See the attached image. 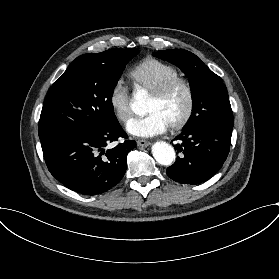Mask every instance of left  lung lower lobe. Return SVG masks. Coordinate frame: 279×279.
Masks as SVG:
<instances>
[{"label": "left lung lower lobe", "instance_id": "left-lung-lower-lobe-1", "mask_svg": "<svg viewBox=\"0 0 279 279\" xmlns=\"http://www.w3.org/2000/svg\"><path fill=\"white\" fill-rule=\"evenodd\" d=\"M233 127L205 123L184 129L175 140L182 158L167 168V175L184 184H199L214 176L226 160Z\"/></svg>", "mask_w": 279, "mask_h": 279}]
</instances>
